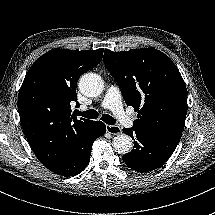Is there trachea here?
I'll list each match as a JSON object with an SVG mask.
<instances>
[{"mask_svg": "<svg viewBox=\"0 0 215 215\" xmlns=\"http://www.w3.org/2000/svg\"><path fill=\"white\" fill-rule=\"evenodd\" d=\"M75 113L77 116H82L87 119H96L98 117V112L94 109H89L84 112L76 110ZM101 120H103L106 124L109 125H114L116 123V120L108 114H103Z\"/></svg>", "mask_w": 215, "mask_h": 215, "instance_id": "trachea-1", "label": "trachea"}]
</instances>
